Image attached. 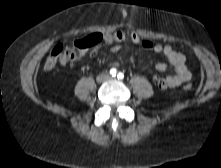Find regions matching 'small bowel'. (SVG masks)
<instances>
[{
	"instance_id": "obj_1",
	"label": "small bowel",
	"mask_w": 221,
	"mask_h": 168,
	"mask_svg": "<svg viewBox=\"0 0 221 168\" xmlns=\"http://www.w3.org/2000/svg\"><path fill=\"white\" fill-rule=\"evenodd\" d=\"M128 33V38H129ZM122 42H116L114 45H110V51L112 54L118 53L121 49ZM143 49L153 51L154 53L157 54H162L166 60L167 63L165 62H158L155 65V68L159 72H166L168 69V65L174 68L175 74L174 75H168L165 78H160L157 76H154V81L156 84L162 88V89H167V88H174L178 87L181 84L187 82L191 78V73L186 65V58L185 56L171 48L170 46H163L161 44H154L150 40H142V42L139 44ZM96 51H92L91 55H94ZM113 67L118 66V63L116 61H113L110 63Z\"/></svg>"
}]
</instances>
